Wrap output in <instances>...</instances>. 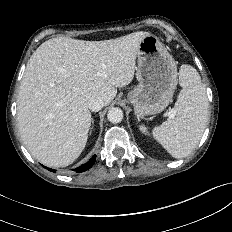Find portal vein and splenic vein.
Here are the masks:
<instances>
[{
  "label": "portal vein and splenic vein",
  "instance_id": "portal-vein-and-splenic-vein-1",
  "mask_svg": "<svg viewBox=\"0 0 232 232\" xmlns=\"http://www.w3.org/2000/svg\"><path fill=\"white\" fill-rule=\"evenodd\" d=\"M169 117H174V113L171 111V112H169Z\"/></svg>",
  "mask_w": 232,
  "mask_h": 232
}]
</instances>
